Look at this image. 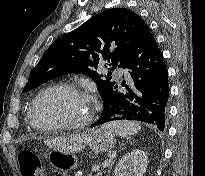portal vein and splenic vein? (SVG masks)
<instances>
[{
  "label": "portal vein and splenic vein",
  "instance_id": "obj_1",
  "mask_svg": "<svg viewBox=\"0 0 205 176\" xmlns=\"http://www.w3.org/2000/svg\"><path fill=\"white\" fill-rule=\"evenodd\" d=\"M111 164V159H107L104 163H103V168L109 167Z\"/></svg>",
  "mask_w": 205,
  "mask_h": 176
}]
</instances>
